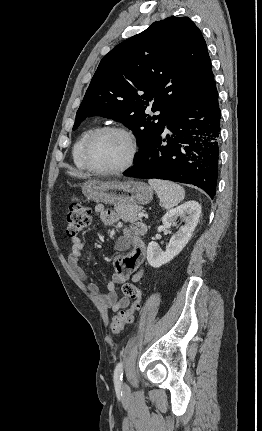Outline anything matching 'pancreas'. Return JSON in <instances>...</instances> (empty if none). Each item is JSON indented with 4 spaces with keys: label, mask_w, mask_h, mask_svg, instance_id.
I'll use <instances>...</instances> for the list:
<instances>
[{
    "label": "pancreas",
    "mask_w": 262,
    "mask_h": 431,
    "mask_svg": "<svg viewBox=\"0 0 262 431\" xmlns=\"http://www.w3.org/2000/svg\"><path fill=\"white\" fill-rule=\"evenodd\" d=\"M115 210L124 222H135L139 219L138 214L142 208L140 206L119 205Z\"/></svg>",
    "instance_id": "obj_1"
}]
</instances>
